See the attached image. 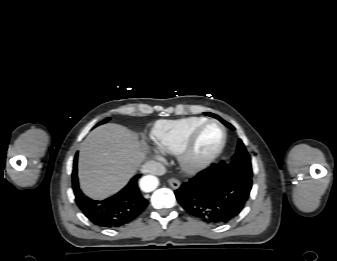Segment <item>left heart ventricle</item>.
Here are the masks:
<instances>
[{"mask_svg": "<svg viewBox=\"0 0 337 261\" xmlns=\"http://www.w3.org/2000/svg\"><path fill=\"white\" fill-rule=\"evenodd\" d=\"M221 131L216 125H209L199 134L193 154L196 158H202L210 154L221 141Z\"/></svg>", "mask_w": 337, "mask_h": 261, "instance_id": "b2bd125f", "label": "left heart ventricle"}]
</instances>
